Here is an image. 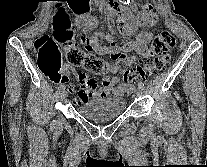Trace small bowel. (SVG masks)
Wrapping results in <instances>:
<instances>
[{
    "label": "small bowel",
    "mask_w": 207,
    "mask_h": 167,
    "mask_svg": "<svg viewBox=\"0 0 207 167\" xmlns=\"http://www.w3.org/2000/svg\"><path fill=\"white\" fill-rule=\"evenodd\" d=\"M68 9H71V13H75V16L81 19L80 25L85 30L93 27V24L90 25L88 19L84 17V15L88 13V9H90V5H87V1H69ZM155 23L156 16L151 8L147 6L137 16L122 15L119 21V28L123 35H130L138 26L154 25ZM153 38V32L143 31L138 33L135 39H130L119 44L115 41L113 35L102 30H97L90 36L82 35L80 42L99 55L112 56L114 63L110 64L109 71L112 74H116L122 71L120 62L125 59L126 53L136 51L140 57L148 58L151 55L148 44ZM72 71L73 69L69 65H63L61 69V78L58 82H61L64 86L68 84L69 76ZM78 80L82 84V87L75 99L77 105L88 102L94 96H122L134 91L133 85L121 83L117 77H104L100 82H96L91 79L87 73L81 72L78 74ZM68 91L72 93L74 88L68 85Z\"/></svg>",
    "instance_id": "obj_1"
}]
</instances>
